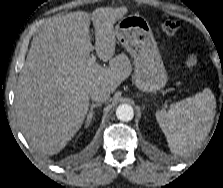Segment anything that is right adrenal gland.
I'll return each mask as SVG.
<instances>
[{"label": "right adrenal gland", "instance_id": "1", "mask_svg": "<svg viewBox=\"0 0 223 188\" xmlns=\"http://www.w3.org/2000/svg\"><path fill=\"white\" fill-rule=\"evenodd\" d=\"M101 104L100 103H96V104H92L91 107H90V111L87 115V120H86V127H88L92 121V118H93V114H94V109L98 106H100Z\"/></svg>", "mask_w": 223, "mask_h": 188}]
</instances>
